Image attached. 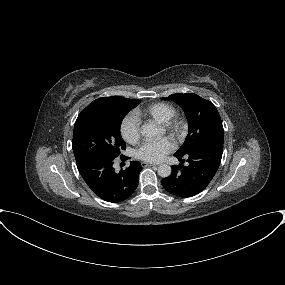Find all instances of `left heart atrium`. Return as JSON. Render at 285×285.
<instances>
[{"mask_svg":"<svg viewBox=\"0 0 285 285\" xmlns=\"http://www.w3.org/2000/svg\"><path fill=\"white\" fill-rule=\"evenodd\" d=\"M174 143L168 138L158 141H147L137 150L136 155L139 159L146 162H159L174 149Z\"/></svg>","mask_w":285,"mask_h":285,"instance_id":"1","label":"left heart atrium"}]
</instances>
